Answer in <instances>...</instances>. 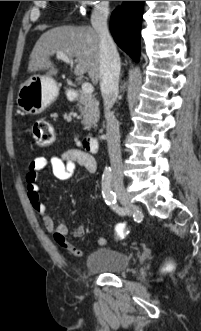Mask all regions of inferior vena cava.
<instances>
[{"label":"inferior vena cava","mask_w":201,"mask_h":331,"mask_svg":"<svg viewBox=\"0 0 201 331\" xmlns=\"http://www.w3.org/2000/svg\"><path fill=\"white\" fill-rule=\"evenodd\" d=\"M109 10L99 7L91 17L93 29L100 39V88L107 122V143L112 174L123 178L120 149L119 122L111 111L117 96L120 74V58L112 37L109 34L107 19Z\"/></svg>","instance_id":"obj_1"}]
</instances>
